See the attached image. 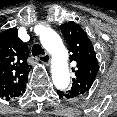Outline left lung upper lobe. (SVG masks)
Listing matches in <instances>:
<instances>
[{
	"mask_svg": "<svg viewBox=\"0 0 117 117\" xmlns=\"http://www.w3.org/2000/svg\"><path fill=\"white\" fill-rule=\"evenodd\" d=\"M71 52L70 61L77 63L76 68H72L75 77L69 91H66L67 98H78L86 94L91 88L99 65L94 51V47L86 32L76 23L70 21L60 26Z\"/></svg>",
	"mask_w": 117,
	"mask_h": 117,
	"instance_id": "obj_1",
	"label": "left lung upper lobe"
}]
</instances>
